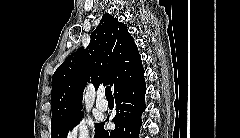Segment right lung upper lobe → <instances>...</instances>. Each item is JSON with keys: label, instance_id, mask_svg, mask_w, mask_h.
I'll return each mask as SVG.
<instances>
[{"label": "right lung upper lobe", "instance_id": "1", "mask_svg": "<svg viewBox=\"0 0 240 138\" xmlns=\"http://www.w3.org/2000/svg\"><path fill=\"white\" fill-rule=\"evenodd\" d=\"M143 73L140 54L127 26L104 14L88 47L72 53L52 77L51 125L82 113L83 90L90 77L95 88L101 83L110 84L115 92Z\"/></svg>", "mask_w": 240, "mask_h": 138}]
</instances>
